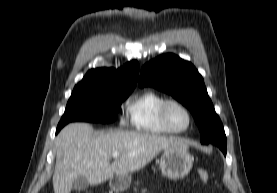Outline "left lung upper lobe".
<instances>
[{"label":"left lung upper lobe","mask_w":277,"mask_h":193,"mask_svg":"<svg viewBox=\"0 0 277 193\" xmlns=\"http://www.w3.org/2000/svg\"><path fill=\"white\" fill-rule=\"evenodd\" d=\"M139 86H153L171 94L192 113L200 130L201 143L217 144L226 138L219 116L197 69L174 54H165L142 67Z\"/></svg>","instance_id":"left-lung-upper-lobe-1"}]
</instances>
